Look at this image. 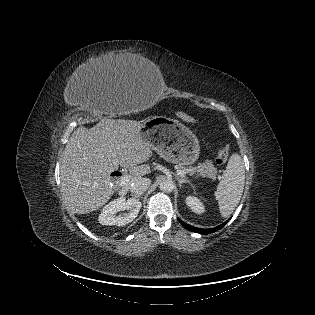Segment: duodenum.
<instances>
[{"label":"duodenum","mask_w":315,"mask_h":315,"mask_svg":"<svg viewBox=\"0 0 315 315\" xmlns=\"http://www.w3.org/2000/svg\"><path fill=\"white\" fill-rule=\"evenodd\" d=\"M112 176L115 178V179H119L120 177H122V173L120 171H116L112 174Z\"/></svg>","instance_id":"obj_1"}]
</instances>
